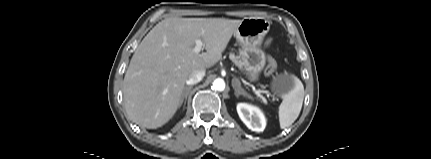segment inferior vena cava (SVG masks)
<instances>
[{
  "mask_svg": "<svg viewBox=\"0 0 431 159\" xmlns=\"http://www.w3.org/2000/svg\"><path fill=\"white\" fill-rule=\"evenodd\" d=\"M205 76V70H196L190 74L188 79L186 80L187 85H194L200 82Z\"/></svg>",
  "mask_w": 431,
  "mask_h": 159,
  "instance_id": "obj_1",
  "label": "inferior vena cava"
}]
</instances>
